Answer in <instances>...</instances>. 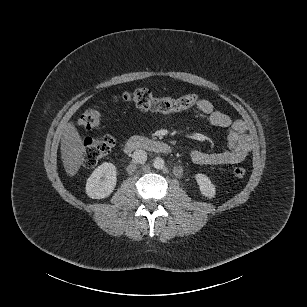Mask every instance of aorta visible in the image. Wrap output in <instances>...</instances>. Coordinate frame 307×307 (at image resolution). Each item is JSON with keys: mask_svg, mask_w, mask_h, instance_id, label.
<instances>
[{"mask_svg": "<svg viewBox=\"0 0 307 307\" xmlns=\"http://www.w3.org/2000/svg\"><path fill=\"white\" fill-rule=\"evenodd\" d=\"M164 166H165V161L162 158H157L153 161V167L155 169L161 170L164 168Z\"/></svg>", "mask_w": 307, "mask_h": 307, "instance_id": "aorta-1", "label": "aorta"}]
</instances>
